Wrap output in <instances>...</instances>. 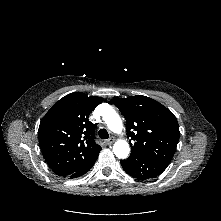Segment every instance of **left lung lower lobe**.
I'll return each instance as SVG.
<instances>
[{
  "label": "left lung lower lobe",
  "instance_id": "left-lung-lower-lobe-1",
  "mask_svg": "<svg viewBox=\"0 0 221 221\" xmlns=\"http://www.w3.org/2000/svg\"><path fill=\"white\" fill-rule=\"evenodd\" d=\"M124 171L130 176L145 180L155 178L160 175L169 165V163L155 160H142L135 157H129L121 160Z\"/></svg>",
  "mask_w": 221,
  "mask_h": 221
}]
</instances>
